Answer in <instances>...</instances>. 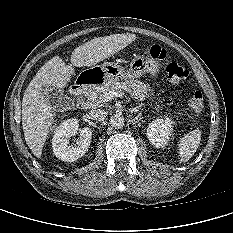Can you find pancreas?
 I'll return each mask as SVG.
<instances>
[{
  "instance_id": "1",
  "label": "pancreas",
  "mask_w": 233,
  "mask_h": 233,
  "mask_svg": "<svg viewBox=\"0 0 233 233\" xmlns=\"http://www.w3.org/2000/svg\"><path fill=\"white\" fill-rule=\"evenodd\" d=\"M111 90L126 91L131 96L138 100H144L152 95L149 85L140 82L139 80L129 79L124 82L110 81L98 86H93L85 92V97L95 106L104 103L102 96Z\"/></svg>"
}]
</instances>
